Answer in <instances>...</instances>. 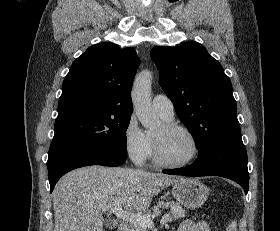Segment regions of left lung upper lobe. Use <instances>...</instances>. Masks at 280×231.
Returning a JSON list of instances; mask_svg holds the SVG:
<instances>
[{
  "instance_id": "left-lung-upper-lobe-1",
  "label": "left lung upper lobe",
  "mask_w": 280,
  "mask_h": 231,
  "mask_svg": "<svg viewBox=\"0 0 280 231\" xmlns=\"http://www.w3.org/2000/svg\"><path fill=\"white\" fill-rule=\"evenodd\" d=\"M151 58L160 71V86L199 154L218 141L241 136L231 81L205 47L195 41L155 46Z\"/></svg>"
}]
</instances>
